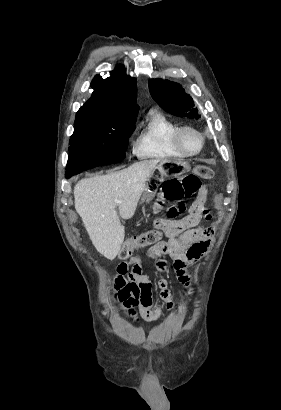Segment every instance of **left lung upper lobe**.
<instances>
[{
  "instance_id": "left-lung-upper-lobe-1",
  "label": "left lung upper lobe",
  "mask_w": 281,
  "mask_h": 410,
  "mask_svg": "<svg viewBox=\"0 0 281 410\" xmlns=\"http://www.w3.org/2000/svg\"><path fill=\"white\" fill-rule=\"evenodd\" d=\"M149 90L152 98L167 112L178 116L198 119L197 108L190 95L184 92L182 87L174 82L162 79H150Z\"/></svg>"
}]
</instances>
